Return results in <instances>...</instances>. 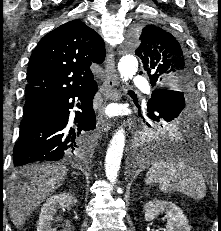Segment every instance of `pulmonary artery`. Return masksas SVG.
<instances>
[{
  "mask_svg": "<svg viewBox=\"0 0 221 231\" xmlns=\"http://www.w3.org/2000/svg\"><path fill=\"white\" fill-rule=\"evenodd\" d=\"M147 81L143 77H137L133 80V85L136 87H146Z\"/></svg>",
  "mask_w": 221,
  "mask_h": 231,
  "instance_id": "pulmonary-artery-1",
  "label": "pulmonary artery"
}]
</instances>
